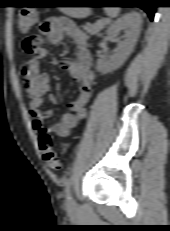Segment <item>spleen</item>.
Returning a JSON list of instances; mask_svg holds the SVG:
<instances>
[{
	"label": "spleen",
	"mask_w": 170,
	"mask_h": 231,
	"mask_svg": "<svg viewBox=\"0 0 170 231\" xmlns=\"http://www.w3.org/2000/svg\"><path fill=\"white\" fill-rule=\"evenodd\" d=\"M105 12L110 17H116L119 13V8L117 7H107L105 8Z\"/></svg>",
	"instance_id": "obj_1"
}]
</instances>
